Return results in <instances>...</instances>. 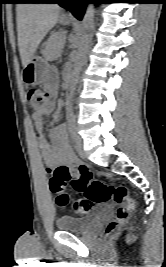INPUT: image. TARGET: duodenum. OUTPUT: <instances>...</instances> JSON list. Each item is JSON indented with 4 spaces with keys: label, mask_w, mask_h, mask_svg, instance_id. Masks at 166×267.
<instances>
[{
    "label": "duodenum",
    "mask_w": 166,
    "mask_h": 267,
    "mask_svg": "<svg viewBox=\"0 0 166 267\" xmlns=\"http://www.w3.org/2000/svg\"><path fill=\"white\" fill-rule=\"evenodd\" d=\"M70 74L69 73H66L65 76H64V81H65V84L68 85L70 83Z\"/></svg>",
    "instance_id": "obj_1"
}]
</instances>
